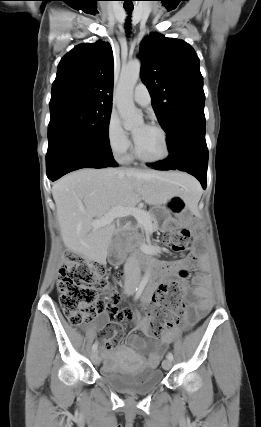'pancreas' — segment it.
<instances>
[{"instance_id": "pancreas-1", "label": "pancreas", "mask_w": 261, "mask_h": 427, "mask_svg": "<svg viewBox=\"0 0 261 427\" xmlns=\"http://www.w3.org/2000/svg\"><path fill=\"white\" fill-rule=\"evenodd\" d=\"M147 214H148L149 223H147L146 228L149 229L152 232L153 230L156 229V225L153 223V216H152V214L150 212H147ZM136 225L137 226L140 225L141 228H142V225L140 223H137ZM138 238H140L142 241H145L144 235H140Z\"/></svg>"}]
</instances>
